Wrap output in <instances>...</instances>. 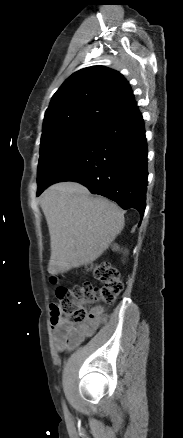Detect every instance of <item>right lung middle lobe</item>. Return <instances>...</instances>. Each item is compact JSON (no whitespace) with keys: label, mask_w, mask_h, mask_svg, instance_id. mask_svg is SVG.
Here are the masks:
<instances>
[{"label":"right lung middle lobe","mask_w":183,"mask_h":438,"mask_svg":"<svg viewBox=\"0 0 183 438\" xmlns=\"http://www.w3.org/2000/svg\"><path fill=\"white\" fill-rule=\"evenodd\" d=\"M96 126L78 125L50 131L41 138L38 190L46 186L87 144Z\"/></svg>","instance_id":"dd1d6c3e"}]
</instances>
